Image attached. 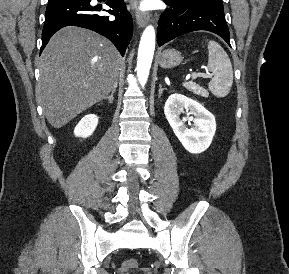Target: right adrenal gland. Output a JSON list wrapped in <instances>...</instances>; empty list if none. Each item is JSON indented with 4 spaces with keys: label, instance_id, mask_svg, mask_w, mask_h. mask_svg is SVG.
<instances>
[{
    "label": "right adrenal gland",
    "instance_id": "1",
    "mask_svg": "<svg viewBox=\"0 0 289 274\" xmlns=\"http://www.w3.org/2000/svg\"><path fill=\"white\" fill-rule=\"evenodd\" d=\"M116 87H117V85L113 88V90L111 91V94L106 97V99L109 101V103H113L114 93H115V91H116Z\"/></svg>",
    "mask_w": 289,
    "mask_h": 274
}]
</instances>
